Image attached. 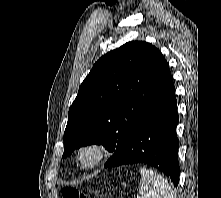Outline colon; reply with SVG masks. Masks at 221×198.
I'll use <instances>...</instances> for the list:
<instances>
[{
	"label": "colon",
	"mask_w": 221,
	"mask_h": 198,
	"mask_svg": "<svg viewBox=\"0 0 221 198\" xmlns=\"http://www.w3.org/2000/svg\"><path fill=\"white\" fill-rule=\"evenodd\" d=\"M62 197L63 198H102L100 194H96L94 197H89L79 192L76 188H73V187L63 188Z\"/></svg>",
	"instance_id": "1"
}]
</instances>
